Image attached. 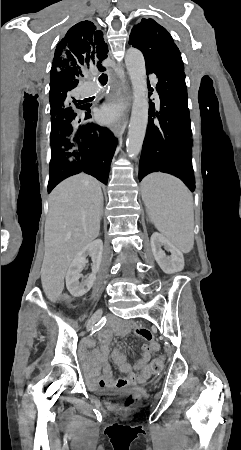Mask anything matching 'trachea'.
<instances>
[{"instance_id":"trachea-1","label":"trachea","mask_w":241,"mask_h":450,"mask_svg":"<svg viewBox=\"0 0 241 450\" xmlns=\"http://www.w3.org/2000/svg\"><path fill=\"white\" fill-rule=\"evenodd\" d=\"M108 80V76L105 73H102V75L99 77V82L102 84H106Z\"/></svg>"}]
</instances>
